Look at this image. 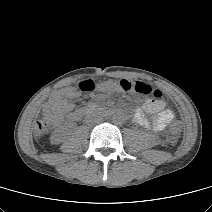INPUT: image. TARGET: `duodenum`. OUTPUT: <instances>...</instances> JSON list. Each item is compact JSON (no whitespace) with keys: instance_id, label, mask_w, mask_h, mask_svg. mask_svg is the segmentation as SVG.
Returning <instances> with one entry per match:
<instances>
[{"instance_id":"1","label":"duodenum","mask_w":212,"mask_h":212,"mask_svg":"<svg viewBox=\"0 0 212 212\" xmlns=\"http://www.w3.org/2000/svg\"><path fill=\"white\" fill-rule=\"evenodd\" d=\"M92 109H98V107L84 108V109H82V110L79 111V116H82V115L86 114L87 112H89Z\"/></svg>"}]
</instances>
